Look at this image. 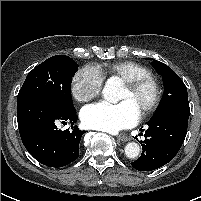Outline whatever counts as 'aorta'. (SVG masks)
<instances>
[{
    "label": "aorta",
    "instance_id": "aorta-1",
    "mask_svg": "<svg viewBox=\"0 0 201 201\" xmlns=\"http://www.w3.org/2000/svg\"><path fill=\"white\" fill-rule=\"evenodd\" d=\"M117 92H118L117 86H115L110 81H108L105 84L102 90L103 97L109 102H116L118 100ZM124 151H125V155L128 158L133 159L138 157V155L140 154V146L135 142H129L126 144Z\"/></svg>",
    "mask_w": 201,
    "mask_h": 201
}]
</instances>
